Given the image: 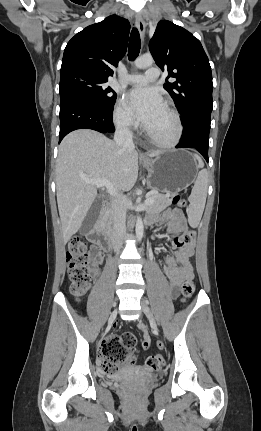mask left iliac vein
I'll return each mask as SVG.
<instances>
[{"mask_svg": "<svg viewBox=\"0 0 261 431\" xmlns=\"http://www.w3.org/2000/svg\"><path fill=\"white\" fill-rule=\"evenodd\" d=\"M141 306H142L143 312L145 313V315L147 316V318L149 319L151 324L156 326L157 323H156V319L154 317V314L151 311L148 303L144 299H142V301H141Z\"/></svg>", "mask_w": 261, "mask_h": 431, "instance_id": "4c4485c4", "label": "left iliac vein"}]
</instances>
